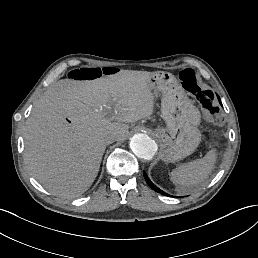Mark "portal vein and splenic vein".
Returning a JSON list of instances; mask_svg holds the SVG:
<instances>
[{"mask_svg":"<svg viewBox=\"0 0 258 258\" xmlns=\"http://www.w3.org/2000/svg\"><path fill=\"white\" fill-rule=\"evenodd\" d=\"M105 106V105H104ZM117 116V112H113V114L111 115V118L110 119H114L115 117Z\"/></svg>","mask_w":258,"mask_h":258,"instance_id":"18ae733b","label":"portal vein and splenic vein"}]
</instances>
